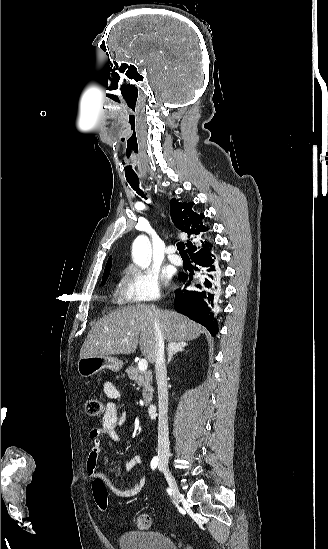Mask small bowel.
I'll use <instances>...</instances> for the list:
<instances>
[{
    "label": "small bowel",
    "mask_w": 328,
    "mask_h": 549,
    "mask_svg": "<svg viewBox=\"0 0 328 549\" xmlns=\"http://www.w3.org/2000/svg\"><path fill=\"white\" fill-rule=\"evenodd\" d=\"M103 390L105 395L109 398V401L106 403L103 413L98 418V425L93 428L90 433L92 445L86 460V471L88 475L94 479L99 478L106 480L104 475L98 470L101 439L103 437H108L114 442H119L121 440L120 428L126 421L127 415L125 412L119 413L115 403V401L120 398L118 388L112 382H105ZM142 463L143 458L140 455L135 454L127 459L125 467L128 471H132L137 465ZM108 483L116 495L130 498L137 496L142 492L146 484V479L143 477L126 489H122L109 481Z\"/></svg>",
    "instance_id": "obj_1"
}]
</instances>
